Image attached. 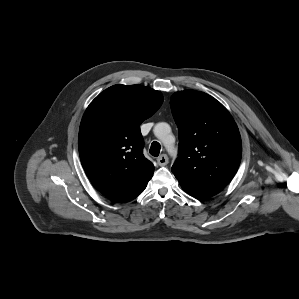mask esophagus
Segmentation results:
<instances>
[{
  "label": "esophagus",
  "mask_w": 299,
  "mask_h": 299,
  "mask_svg": "<svg viewBox=\"0 0 299 299\" xmlns=\"http://www.w3.org/2000/svg\"><path fill=\"white\" fill-rule=\"evenodd\" d=\"M157 163H158L159 166H165V165H167V163H168V157H167V155H165V154L160 155L157 158Z\"/></svg>",
  "instance_id": "obj_1"
}]
</instances>
